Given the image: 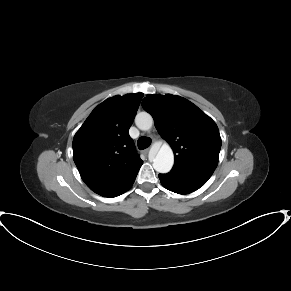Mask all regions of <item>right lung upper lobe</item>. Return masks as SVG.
<instances>
[{
    "instance_id": "obj_1",
    "label": "right lung upper lobe",
    "mask_w": 291,
    "mask_h": 291,
    "mask_svg": "<svg viewBox=\"0 0 291 291\" xmlns=\"http://www.w3.org/2000/svg\"><path fill=\"white\" fill-rule=\"evenodd\" d=\"M142 93L114 96L98 105L73 139V159L82 180L95 193L113 197L135 180L143 163L129 128Z\"/></svg>"
}]
</instances>
